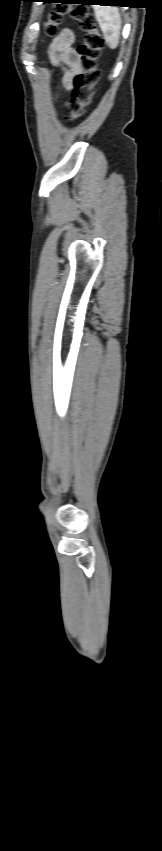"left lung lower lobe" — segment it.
Wrapping results in <instances>:
<instances>
[{"label": "left lung lower lobe", "instance_id": "1", "mask_svg": "<svg viewBox=\"0 0 162 851\" xmlns=\"http://www.w3.org/2000/svg\"><path fill=\"white\" fill-rule=\"evenodd\" d=\"M51 2L54 3L55 1H51ZM120 2H125V1H123V0H74V2L71 1V2H63V3H80L82 5L85 4V3H90V4L91 3H101V5L104 4V5L118 6L119 5L118 3H120Z\"/></svg>", "mask_w": 162, "mask_h": 851}]
</instances>
